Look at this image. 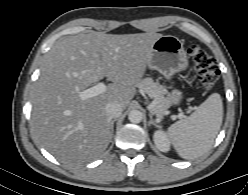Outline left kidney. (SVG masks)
Instances as JSON below:
<instances>
[{
	"label": "left kidney",
	"instance_id": "left-kidney-1",
	"mask_svg": "<svg viewBox=\"0 0 248 195\" xmlns=\"http://www.w3.org/2000/svg\"><path fill=\"white\" fill-rule=\"evenodd\" d=\"M153 140L158 150L162 152H167L170 150L169 139L163 131H156L153 135Z\"/></svg>",
	"mask_w": 248,
	"mask_h": 195
}]
</instances>
